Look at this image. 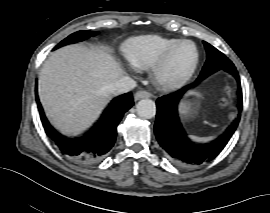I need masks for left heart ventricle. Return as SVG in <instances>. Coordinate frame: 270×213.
I'll return each instance as SVG.
<instances>
[{"instance_id":"1","label":"left heart ventricle","mask_w":270,"mask_h":213,"mask_svg":"<svg viewBox=\"0 0 270 213\" xmlns=\"http://www.w3.org/2000/svg\"><path fill=\"white\" fill-rule=\"evenodd\" d=\"M195 53L193 46L188 43L179 45L174 51L164 76L172 79L184 74L193 64Z\"/></svg>"}]
</instances>
